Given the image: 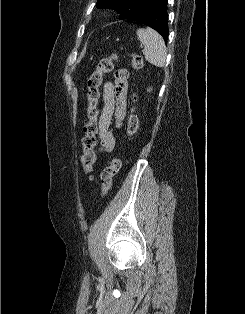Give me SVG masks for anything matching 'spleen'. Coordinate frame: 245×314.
<instances>
[{
	"instance_id": "3e777b00",
	"label": "spleen",
	"mask_w": 245,
	"mask_h": 314,
	"mask_svg": "<svg viewBox=\"0 0 245 314\" xmlns=\"http://www.w3.org/2000/svg\"><path fill=\"white\" fill-rule=\"evenodd\" d=\"M137 36L144 46L143 54L146 61L156 67L166 65V46L162 36L151 28L138 29Z\"/></svg>"
}]
</instances>
